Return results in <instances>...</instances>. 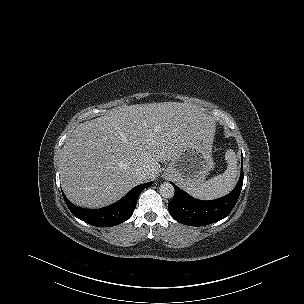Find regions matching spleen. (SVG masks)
<instances>
[{
  "label": "spleen",
  "mask_w": 304,
  "mask_h": 304,
  "mask_svg": "<svg viewBox=\"0 0 304 304\" xmlns=\"http://www.w3.org/2000/svg\"><path fill=\"white\" fill-rule=\"evenodd\" d=\"M225 160L228 164L223 174L214 176L196 188L186 189L195 198L212 200L229 193L236 184L239 170L237 157L233 150L226 151Z\"/></svg>",
  "instance_id": "obj_1"
}]
</instances>
